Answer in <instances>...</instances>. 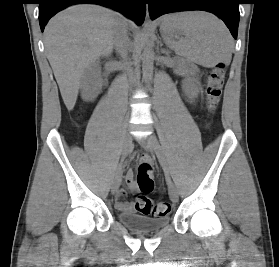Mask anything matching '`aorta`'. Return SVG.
Masks as SVG:
<instances>
[{
	"label": "aorta",
	"mask_w": 279,
	"mask_h": 267,
	"mask_svg": "<svg viewBox=\"0 0 279 267\" xmlns=\"http://www.w3.org/2000/svg\"><path fill=\"white\" fill-rule=\"evenodd\" d=\"M145 48L142 53V72L146 83H149L153 75L154 52L149 41V31L145 27L144 31Z\"/></svg>",
	"instance_id": "762f6f07"
}]
</instances>
